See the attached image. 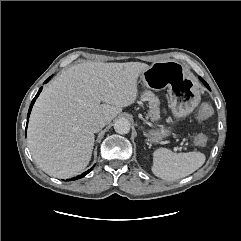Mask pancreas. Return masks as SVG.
<instances>
[{"label":"pancreas","instance_id":"cf45deb5","mask_svg":"<svg viewBox=\"0 0 241 241\" xmlns=\"http://www.w3.org/2000/svg\"><path fill=\"white\" fill-rule=\"evenodd\" d=\"M142 100L149 101V112L148 116L151 117L152 121H157L160 118L159 99L151 91H145L141 95Z\"/></svg>","mask_w":241,"mask_h":241}]
</instances>
